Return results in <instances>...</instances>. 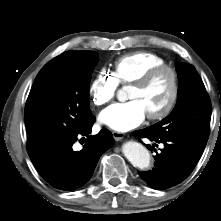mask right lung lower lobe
I'll use <instances>...</instances> for the list:
<instances>
[{
    "label": "right lung lower lobe",
    "instance_id": "right-lung-lower-lobe-1",
    "mask_svg": "<svg viewBox=\"0 0 221 221\" xmlns=\"http://www.w3.org/2000/svg\"><path fill=\"white\" fill-rule=\"evenodd\" d=\"M95 117L68 139H42L27 142L28 155L39 174L53 187L70 191L84 185L91 177L100 156L111 148L114 139L110 131L102 129L89 135ZM86 137V139H85ZM86 141L83 149L75 151L73 144Z\"/></svg>",
    "mask_w": 221,
    "mask_h": 221
}]
</instances>
